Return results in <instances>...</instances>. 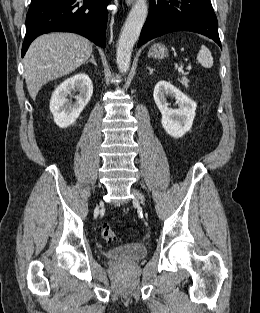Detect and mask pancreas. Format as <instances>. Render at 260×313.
<instances>
[{
  "mask_svg": "<svg viewBox=\"0 0 260 313\" xmlns=\"http://www.w3.org/2000/svg\"><path fill=\"white\" fill-rule=\"evenodd\" d=\"M180 82H181L185 87H188L189 80L187 79V77H182V78L180 79Z\"/></svg>",
  "mask_w": 260,
  "mask_h": 313,
  "instance_id": "1",
  "label": "pancreas"
}]
</instances>
